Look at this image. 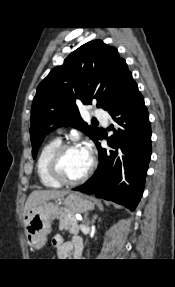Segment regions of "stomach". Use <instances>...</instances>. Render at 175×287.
<instances>
[{"instance_id": "0dacf381", "label": "stomach", "mask_w": 175, "mask_h": 287, "mask_svg": "<svg viewBox=\"0 0 175 287\" xmlns=\"http://www.w3.org/2000/svg\"><path fill=\"white\" fill-rule=\"evenodd\" d=\"M60 202L63 208H60ZM94 207L91 200L78 192H70L64 198L55 202L46 201L33 208L25 217L24 227L27 242L31 248L40 249L47 242V235L51 232L52 220L56 218L61 210L74 213H84Z\"/></svg>"}]
</instances>
